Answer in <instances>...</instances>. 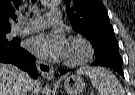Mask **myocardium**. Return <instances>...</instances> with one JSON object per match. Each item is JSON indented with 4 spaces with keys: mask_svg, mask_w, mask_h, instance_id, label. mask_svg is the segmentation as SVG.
<instances>
[{
    "mask_svg": "<svg viewBox=\"0 0 135 95\" xmlns=\"http://www.w3.org/2000/svg\"><path fill=\"white\" fill-rule=\"evenodd\" d=\"M70 44H80L83 47L84 53L78 59L65 58L64 63L67 66H80L89 61L94 55V48L91 42L83 36H73L70 39Z\"/></svg>",
    "mask_w": 135,
    "mask_h": 95,
    "instance_id": "obj_1",
    "label": "myocardium"
}]
</instances>
